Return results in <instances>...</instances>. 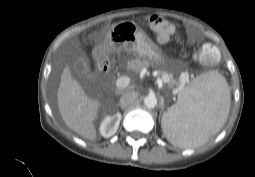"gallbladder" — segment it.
Here are the masks:
<instances>
[{"label":"gallbladder","mask_w":255,"mask_h":177,"mask_svg":"<svg viewBox=\"0 0 255 177\" xmlns=\"http://www.w3.org/2000/svg\"><path fill=\"white\" fill-rule=\"evenodd\" d=\"M70 66L72 73L79 77H85L89 74V67L85 52L80 51L79 53L75 54Z\"/></svg>","instance_id":"gallbladder-1"}]
</instances>
